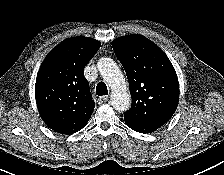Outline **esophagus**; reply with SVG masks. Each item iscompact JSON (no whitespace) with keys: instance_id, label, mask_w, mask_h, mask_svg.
<instances>
[{"instance_id":"1","label":"esophagus","mask_w":224,"mask_h":175,"mask_svg":"<svg viewBox=\"0 0 224 175\" xmlns=\"http://www.w3.org/2000/svg\"><path fill=\"white\" fill-rule=\"evenodd\" d=\"M99 104H103L109 101V97L108 96H100L99 99Z\"/></svg>"}]
</instances>
